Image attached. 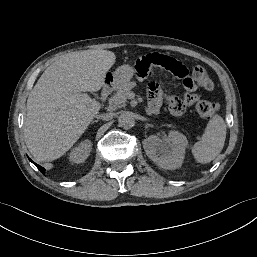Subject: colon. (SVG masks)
<instances>
[{
    "label": "colon",
    "mask_w": 257,
    "mask_h": 257,
    "mask_svg": "<svg viewBox=\"0 0 257 257\" xmlns=\"http://www.w3.org/2000/svg\"><path fill=\"white\" fill-rule=\"evenodd\" d=\"M182 64V63H181ZM183 65V64H182ZM193 70L196 73V79L194 81L195 87L196 85L206 89L211 90L213 88V82L207 73L206 69L202 66H195ZM218 109V105L212 101L201 100L196 105L197 113L206 119L213 117Z\"/></svg>",
    "instance_id": "5ec220e1"
}]
</instances>
